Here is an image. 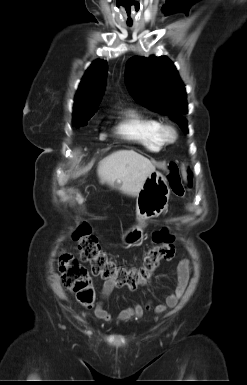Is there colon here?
I'll return each mask as SVG.
<instances>
[{"label":"colon","instance_id":"colon-1","mask_svg":"<svg viewBox=\"0 0 247 385\" xmlns=\"http://www.w3.org/2000/svg\"><path fill=\"white\" fill-rule=\"evenodd\" d=\"M167 178L176 196H183L186 184L191 183L190 178L187 181L184 180L175 164L169 166ZM73 238L81 252L80 260L62 251L59 255V270L64 287L73 293L84 307L93 306L96 296L91 277L81 261L90 264L93 275L111 282L114 286H125L133 290L149 284L159 264L172 260L175 255L174 236L166 228L154 233L155 246L144 255L142 264L136 267L125 266L108 257L86 225L78 228Z\"/></svg>","mask_w":247,"mask_h":385}]
</instances>
